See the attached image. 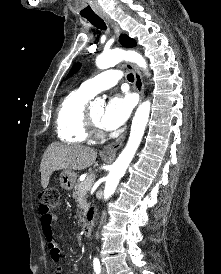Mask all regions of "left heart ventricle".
<instances>
[{"label": "left heart ventricle", "instance_id": "1", "mask_svg": "<svg viewBox=\"0 0 221 274\" xmlns=\"http://www.w3.org/2000/svg\"><path fill=\"white\" fill-rule=\"evenodd\" d=\"M103 108L102 107H96L90 110V113L94 120L98 123H100L101 116L103 114Z\"/></svg>", "mask_w": 221, "mask_h": 274}]
</instances>
